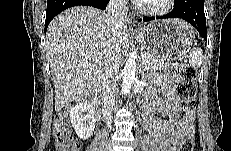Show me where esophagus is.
I'll list each match as a JSON object with an SVG mask.
<instances>
[{"label": "esophagus", "mask_w": 231, "mask_h": 151, "mask_svg": "<svg viewBox=\"0 0 231 151\" xmlns=\"http://www.w3.org/2000/svg\"><path fill=\"white\" fill-rule=\"evenodd\" d=\"M127 23L129 26L131 27H136V19H135V15L130 13L127 17Z\"/></svg>", "instance_id": "1"}]
</instances>
